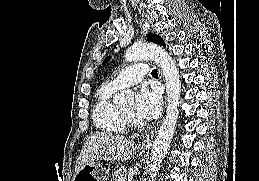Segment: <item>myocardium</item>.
<instances>
[{
	"mask_svg": "<svg viewBox=\"0 0 259 181\" xmlns=\"http://www.w3.org/2000/svg\"><path fill=\"white\" fill-rule=\"evenodd\" d=\"M121 115L123 117V120L125 122V125L130 127V128H140L142 126V123L136 119L134 116L125 113L123 110H120Z\"/></svg>",
	"mask_w": 259,
	"mask_h": 181,
	"instance_id": "f54148a6",
	"label": "myocardium"
}]
</instances>
